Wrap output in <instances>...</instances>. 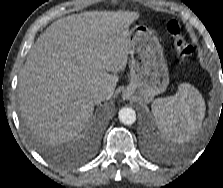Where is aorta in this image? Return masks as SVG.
<instances>
[{"mask_svg": "<svg viewBox=\"0 0 223 188\" xmlns=\"http://www.w3.org/2000/svg\"><path fill=\"white\" fill-rule=\"evenodd\" d=\"M119 120L125 125H132L136 121V113L132 108L124 107L118 113Z\"/></svg>", "mask_w": 223, "mask_h": 188, "instance_id": "aorta-1", "label": "aorta"}]
</instances>
